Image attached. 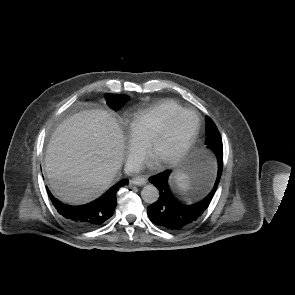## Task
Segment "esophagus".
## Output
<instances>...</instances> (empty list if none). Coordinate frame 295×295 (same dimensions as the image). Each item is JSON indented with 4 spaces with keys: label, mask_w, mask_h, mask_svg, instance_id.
<instances>
[{
    "label": "esophagus",
    "mask_w": 295,
    "mask_h": 295,
    "mask_svg": "<svg viewBox=\"0 0 295 295\" xmlns=\"http://www.w3.org/2000/svg\"><path fill=\"white\" fill-rule=\"evenodd\" d=\"M147 182L145 177H135L131 180V183L137 186H143Z\"/></svg>",
    "instance_id": "34e87169"
}]
</instances>
